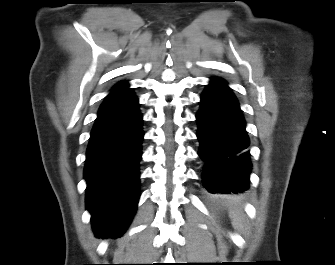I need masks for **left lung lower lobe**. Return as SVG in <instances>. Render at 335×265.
I'll list each match as a JSON object with an SVG mask.
<instances>
[{
  "label": "left lung lower lobe",
  "mask_w": 335,
  "mask_h": 265,
  "mask_svg": "<svg viewBox=\"0 0 335 265\" xmlns=\"http://www.w3.org/2000/svg\"><path fill=\"white\" fill-rule=\"evenodd\" d=\"M203 184L211 194H238L249 187V138L238 101L226 82L206 86L197 115Z\"/></svg>",
  "instance_id": "obj_1"
}]
</instances>
